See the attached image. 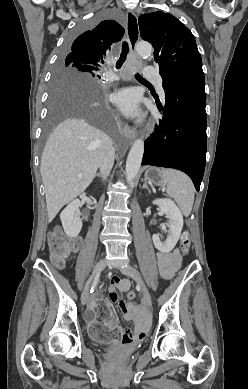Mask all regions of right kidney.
Segmentation results:
<instances>
[{
  "label": "right kidney",
  "instance_id": "1",
  "mask_svg": "<svg viewBox=\"0 0 248 389\" xmlns=\"http://www.w3.org/2000/svg\"><path fill=\"white\" fill-rule=\"evenodd\" d=\"M79 207L80 200L75 199L60 214L63 229L72 238L78 236L82 228Z\"/></svg>",
  "mask_w": 248,
  "mask_h": 389
}]
</instances>
